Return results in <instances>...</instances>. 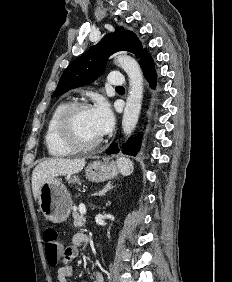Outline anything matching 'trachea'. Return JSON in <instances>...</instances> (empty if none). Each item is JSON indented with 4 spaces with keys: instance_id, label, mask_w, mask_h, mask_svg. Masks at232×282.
Segmentation results:
<instances>
[{
    "instance_id": "3493384b",
    "label": "trachea",
    "mask_w": 232,
    "mask_h": 282,
    "mask_svg": "<svg viewBox=\"0 0 232 282\" xmlns=\"http://www.w3.org/2000/svg\"><path fill=\"white\" fill-rule=\"evenodd\" d=\"M116 89H124L122 86H117Z\"/></svg>"
}]
</instances>
